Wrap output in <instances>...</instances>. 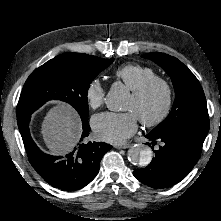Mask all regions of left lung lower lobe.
Listing matches in <instances>:
<instances>
[{"instance_id":"obj_1","label":"left lung lower lobe","mask_w":221,"mask_h":221,"mask_svg":"<svg viewBox=\"0 0 221 221\" xmlns=\"http://www.w3.org/2000/svg\"><path fill=\"white\" fill-rule=\"evenodd\" d=\"M145 137L152 140L153 145L157 140L164 144L155 151L147 167L133 172L139 181L153 188H166L181 181L199 160L204 142L186 134L157 136L149 133Z\"/></svg>"}]
</instances>
